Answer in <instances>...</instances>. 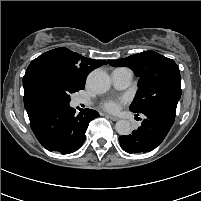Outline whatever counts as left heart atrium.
<instances>
[{"mask_svg":"<svg viewBox=\"0 0 201 201\" xmlns=\"http://www.w3.org/2000/svg\"><path fill=\"white\" fill-rule=\"evenodd\" d=\"M126 102L125 98L121 99H109L103 102V107L110 111V112H116L120 109L121 105Z\"/></svg>","mask_w":201,"mask_h":201,"instance_id":"1","label":"left heart atrium"}]
</instances>
